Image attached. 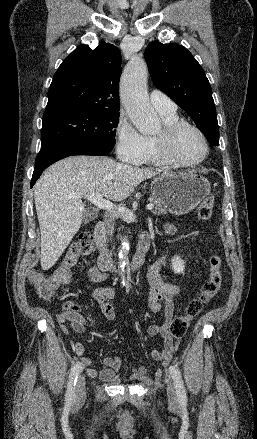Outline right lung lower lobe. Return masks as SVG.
<instances>
[{
  "label": "right lung lower lobe",
  "instance_id": "1",
  "mask_svg": "<svg viewBox=\"0 0 257 439\" xmlns=\"http://www.w3.org/2000/svg\"><path fill=\"white\" fill-rule=\"evenodd\" d=\"M113 147L85 142L60 143L48 148L41 149L33 172L31 187L35 184L42 172L54 162L72 155L100 156L111 152Z\"/></svg>",
  "mask_w": 257,
  "mask_h": 439
}]
</instances>
